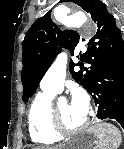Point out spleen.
<instances>
[{"mask_svg":"<svg viewBox=\"0 0 124 149\" xmlns=\"http://www.w3.org/2000/svg\"><path fill=\"white\" fill-rule=\"evenodd\" d=\"M98 149H117L121 143L119 130L109 123H101L96 127ZM120 136V139L118 138Z\"/></svg>","mask_w":124,"mask_h":149,"instance_id":"obj_1","label":"spleen"}]
</instances>
